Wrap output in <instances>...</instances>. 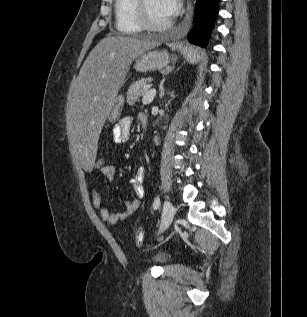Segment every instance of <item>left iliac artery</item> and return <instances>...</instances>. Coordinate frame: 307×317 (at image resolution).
Wrapping results in <instances>:
<instances>
[{
	"instance_id": "left-iliac-artery-1",
	"label": "left iliac artery",
	"mask_w": 307,
	"mask_h": 317,
	"mask_svg": "<svg viewBox=\"0 0 307 317\" xmlns=\"http://www.w3.org/2000/svg\"><path fill=\"white\" fill-rule=\"evenodd\" d=\"M159 206H160V198L157 196L153 203L154 210L158 209Z\"/></svg>"
}]
</instances>
